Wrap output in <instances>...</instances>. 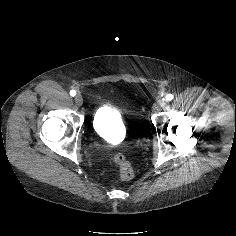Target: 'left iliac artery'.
<instances>
[{"instance_id":"obj_1","label":"left iliac artery","mask_w":236,"mask_h":236,"mask_svg":"<svg viewBox=\"0 0 236 236\" xmlns=\"http://www.w3.org/2000/svg\"><path fill=\"white\" fill-rule=\"evenodd\" d=\"M165 99H166V101H170V100L173 99V95L172 94H168V95H166Z\"/></svg>"}]
</instances>
